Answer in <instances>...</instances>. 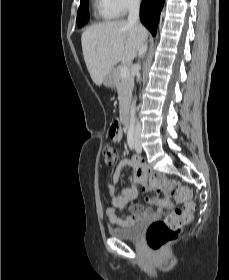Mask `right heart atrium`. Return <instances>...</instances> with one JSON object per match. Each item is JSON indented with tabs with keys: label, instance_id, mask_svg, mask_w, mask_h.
Instances as JSON below:
<instances>
[{
	"label": "right heart atrium",
	"instance_id": "obj_1",
	"mask_svg": "<svg viewBox=\"0 0 229 280\" xmlns=\"http://www.w3.org/2000/svg\"><path fill=\"white\" fill-rule=\"evenodd\" d=\"M104 6L111 11L115 17H124L128 12L136 9L140 0H102Z\"/></svg>",
	"mask_w": 229,
	"mask_h": 280
}]
</instances>
